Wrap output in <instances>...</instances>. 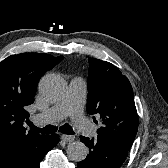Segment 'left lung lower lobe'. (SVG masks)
I'll list each match as a JSON object with an SVG mask.
<instances>
[{
    "instance_id": "0a47b994",
    "label": "left lung lower lobe",
    "mask_w": 168,
    "mask_h": 168,
    "mask_svg": "<svg viewBox=\"0 0 168 168\" xmlns=\"http://www.w3.org/2000/svg\"><path fill=\"white\" fill-rule=\"evenodd\" d=\"M89 148V155L78 163V168H119L125 161L129 148L98 135L95 139L80 136Z\"/></svg>"
}]
</instances>
